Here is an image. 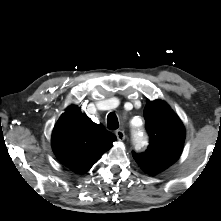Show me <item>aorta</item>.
I'll return each mask as SVG.
<instances>
[{
	"instance_id": "obj_1",
	"label": "aorta",
	"mask_w": 221,
	"mask_h": 221,
	"mask_svg": "<svg viewBox=\"0 0 221 221\" xmlns=\"http://www.w3.org/2000/svg\"><path fill=\"white\" fill-rule=\"evenodd\" d=\"M132 138L137 149H140L146 144V137L141 127L132 129Z\"/></svg>"
}]
</instances>
